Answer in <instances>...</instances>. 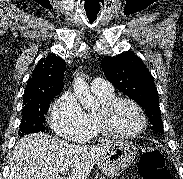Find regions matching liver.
Instances as JSON below:
<instances>
[{"mask_svg": "<svg viewBox=\"0 0 183 179\" xmlns=\"http://www.w3.org/2000/svg\"><path fill=\"white\" fill-rule=\"evenodd\" d=\"M110 144L75 145L44 133L24 136L15 145L7 179H66L58 177L63 168H72L67 179H86Z\"/></svg>", "mask_w": 183, "mask_h": 179, "instance_id": "1", "label": "liver"}]
</instances>
